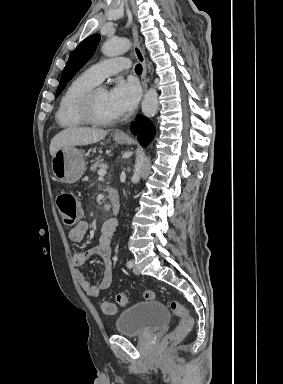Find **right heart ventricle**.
Instances as JSON below:
<instances>
[{"label": "right heart ventricle", "instance_id": "obj_1", "mask_svg": "<svg viewBox=\"0 0 283 384\" xmlns=\"http://www.w3.org/2000/svg\"><path fill=\"white\" fill-rule=\"evenodd\" d=\"M96 83L92 82L86 74H82L73 79L62 93L55 117L58 125L67 130H77L83 128L84 124L75 114V106L78 99Z\"/></svg>", "mask_w": 283, "mask_h": 384}]
</instances>
